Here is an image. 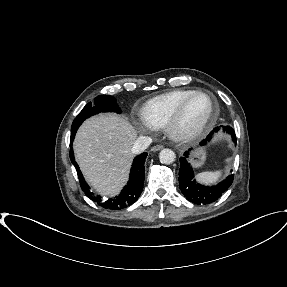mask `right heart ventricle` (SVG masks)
I'll return each mask as SVG.
<instances>
[{
    "mask_svg": "<svg viewBox=\"0 0 287 287\" xmlns=\"http://www.w3.org/2000/svg\"><path fill=\"white\" fill-rule=\"evenodd\" d=\"M194 90H173L148 100L141 108L143 120L155 128H161L175 112L179 104Z\"/></svg>",
    "mask_w": 287,
    "mask_h": 287,
    "instance_id": "1",
    "label": "right heart ventricle"
}]
</instances>
